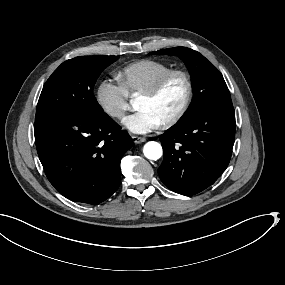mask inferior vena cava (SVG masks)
Returning a JSON list of instances; mask_svg holds the SVG:
<instances>
[{
    "instance_id": "inferior-vena-cava-1",
    "label": "inferior vena cava",
    "mask_w": 285,
    "mask_h": 285,
    "mask_svg": "<svg viewBox=\"0 0 285 285\" xmlns=\"http://www.w3.org/2000/svg\"><path fill=\"white\" fill-rule=\"evenodd\" d=\"M125 111L124 107L121 106H112L107 110V112L114 117H121Z\"/></svg>"
}]
</instances>
